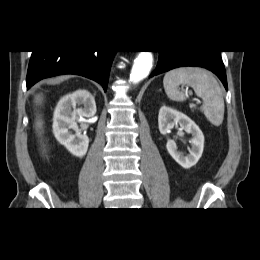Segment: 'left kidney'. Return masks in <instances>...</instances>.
I'll list each match as a JSON object with an SVG mask.
<instances>
[{"label":"left kidney","mask_w":260,"mask_h":260,"mask_svg":"<svg viewBox=\"0 0 260 260\" xmlns=\"http://www.w3.org/2000/svg\"><path fill=\"white\" fill-rule=\"evenodd\" d=\"M180 125L187 133L192 135L191 149L187 156L178 151L174 140L167 139L166 148L171 157L183 168L189 169L194 166L203 153L204 135L200 128L188 116L167 106H162L158 115L159 131L163 135L171 132L175 125Z\"/></svg>","instance_id":"left-kidney-1"}]
</instances>
